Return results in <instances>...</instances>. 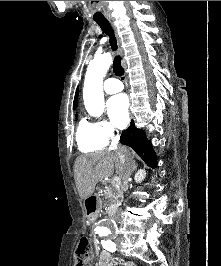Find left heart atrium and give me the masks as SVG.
<instances>
[{
    "label": "left heart atrium",
    "mask_w": 221,
    "mask_h": 266,
    "mask_svg": "<svg viewBox=\"0 0 221 266\" xmlns=\"http://www.w3.org/2000/svg\"><path fill=\"white\" fill-rule=\"evenodd\" d=\"M129 102L124 94H118L111 97L107 102V112L112 123L119 127L124 128L129 119Z\"/></svg>",
    "instance_id": "left-heart-atrium-1"
}]
</instances>
